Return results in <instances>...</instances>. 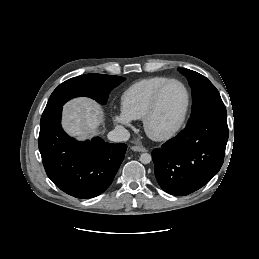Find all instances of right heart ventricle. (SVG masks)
I'll list each match as a JSON object with an SVG mask.
<instances>
[{"label": "right heart ventricle", "instance_id": "e07e8e85", "mask_svg": "<svg viewBox=\"0 0 259 259\" xmlns=\"http://www.w3.org/2000/svg\"><path fill=\"white\" fill-rule=\"evenodd\" d=\"M167 79L165 76H153L131 84L121 94L122 110L132 119H141L145 115L155 90Z\"/></svg>", "mask_w": 259, "mask_h": 259}]
</instances>
